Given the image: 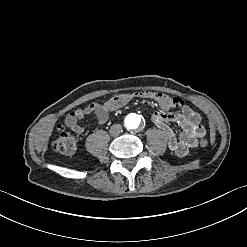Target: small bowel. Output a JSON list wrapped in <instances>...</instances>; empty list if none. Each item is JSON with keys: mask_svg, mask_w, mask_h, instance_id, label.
I'll use <instances>...</instances> for the list:
<instances>
[{"mask_svg": "<svg viewBox=\"0 0 247 247\" xmlns=\"http://www.w3.org/2000/svg\"><path fill=\"white\" fill-rule=\"evenodd\" d=\"M109 108L101 103H91L83 108L70 112L65 124L76 134H83L84 127L79 121L85 117L94 114L99 124H104L109 118ZM152 123L161 129L168 140V146L178 157H186L190 150L198 146V140L205 134L204 128L201 126L200 115L189 106H182L180 112H169L160 108L151 115ZM170 124H176L181 130L179 136L172 130Z\"/></svg>", "mask_w": 247, "mask_h": 247, "instance_id": "small-bowel-1", "label": "small bowel"}]
</instances>
